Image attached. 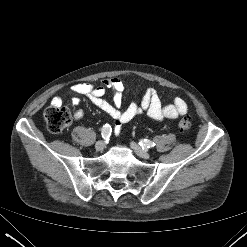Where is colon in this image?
I'll return each mask as SVG.
<instances>
[{"label": "colon", "instance_id": "colon-1", "mask_svg": "<svg viewBox=\"0 0 247 247\" xmlns=\"http://www.w3.org/2000/svg\"><path fill=\"white\" fill-rule=\"evenodd\" d=\"M44 118L51 132L60 133L70 125L72 114L66 107L51 105L45 110ZM178 126L181 131H188L191 127V122L185 117L179 121Z\"/></svg>", "mask_w": 247, "mask_h": 247}]
</instances>
